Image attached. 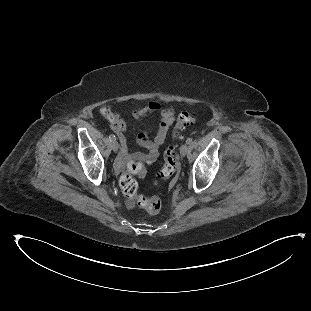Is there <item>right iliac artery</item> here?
<instances>
[{
    "label": "right iliac artery",
    "mask_w": 311,
    "mask_h": 311,
    "mask_svg": "<svg viewBox=\"0 0 311 311\" xmlns=\"http://www.w3.org/2000/svg\"><path fill=\"white\" fill-rule=\"evenodd\" d=\"M109 139H110L111 141H113V140H116V137H115L114 134H111V135L109 136Z\"/></svg>",
    "instance_id": "obj_1"
}]
</instances>
